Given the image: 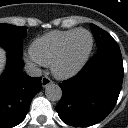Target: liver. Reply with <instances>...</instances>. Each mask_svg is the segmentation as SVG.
I'll return each mask as SVG.
<instances>
[{"instance_id":"6515ba94","label":"liver","mask_w":128,"mask_h":128,"mask_svg":"<svg viewBox=\"0 0 128 128\" xmlns=\"http://www.w3.org/2000/svg\"><path fill=\"white\" fill-rule=\"evenodd\" d=\"M6 63V55L5 51L0 48V74L2 73Z\"/></svg>"}]
</instances>
